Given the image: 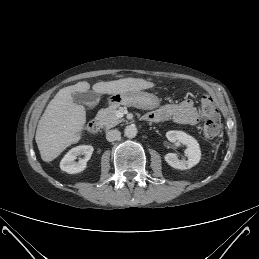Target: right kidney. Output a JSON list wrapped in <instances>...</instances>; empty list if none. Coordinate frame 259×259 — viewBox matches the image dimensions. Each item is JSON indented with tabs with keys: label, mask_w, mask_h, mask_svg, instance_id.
I'll use <instances>...</instances> for the list:
<instances>
[{
	"label": "right kidney",
	"mask_w": 259,
	"mask_h": 259,
	"mask_svg": "<svg viewBox=\"0 0 259 259\" xmlns=\"http://www.w3.org/2000/svg\"><path fill=\"white\" fill-rule=\"evenodd\" d=\"M94 148L91 145H80L69 150L60 162L62 171L68 174H76L84 171L87 161L91 158ZM84 155L78 162H75L77 156Z\"/></svg>",
	"instance_id": "1"
}]
</instances>
